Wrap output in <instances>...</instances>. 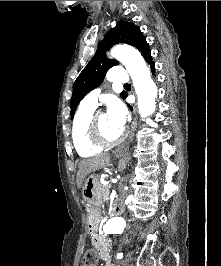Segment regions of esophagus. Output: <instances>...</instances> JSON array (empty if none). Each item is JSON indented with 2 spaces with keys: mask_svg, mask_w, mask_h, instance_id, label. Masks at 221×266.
I'll return each mask as SVG.
<instances>
[{
  "mask_svg": "<svg viewBox=\"0 0 221 266\" xmlns=\"http://www.w3.org/2000/svg\"><path fill=\"white\" fill-rule=\"evenodd\" d=\"M133 121H132V124H131V130H130V133L128 135V138L126 140V143H125V146H128V144L132 141L133 139V136H134V131H135V128H136V119H135V114H136V105L133 106Z\"/></svg>",
  "mask_w": 221,
  "mask_h": 266,
  "instance_id": "esophagus-1",
  "label": "esophagus"
}]
</instances>
